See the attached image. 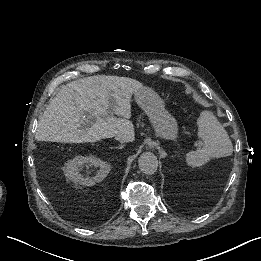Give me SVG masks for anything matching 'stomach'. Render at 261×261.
<instances>
[{
    "label": "stomach",
    "mask_w": 261,
    "mask_h": 261,
    "mask_svg": "<svg viewBox=\"0 0 261 261\" xmlns=\"http://www.w3.org/2000/svg\"><path fill=\"white\" fill-rule=\"evenodd\" d=\"M135 100L148 116L158 137L173 140L177 137L175 118L165 109L164 101L152 89L143 87L134 93Z\"/></svg>",
    "instance_id": "obj_1"
}]
</instances>
